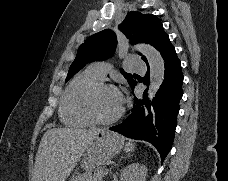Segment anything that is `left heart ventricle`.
I'll list each match as a JSON object with an SVG mask.
<instances>
[{"label":"left heart ventricle","instance_id":"left-heart-ventricle-1","mask_svg":"<svg viewBox=\"0 0 228 181\" xmlns=\"http://www.w3.org/2000/svg\"><path fill=\"white\" fill-rule=\"evenodd\" d=\"M120 106V101L114 89H105L97 97V111L102 117L115 115Z\"/></svg>","mask_w":228,"mask_h":181}]
</instances>
